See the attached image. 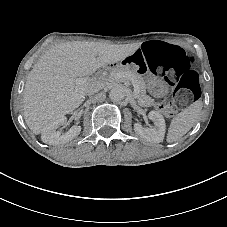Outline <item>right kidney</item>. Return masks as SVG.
Returning a JSON list of instances; mask_svg holds the SVG:
<instances>
[{
  "label": "right kidney",
  "instance_id": "right-kidney-1",
  "mask_svg": "<svg viewBox=\"0 0 227 227\" xmlns=\"http://www.w3.org/2000/svg\"><path fill=\"white\" fill-rule=\"evenodd\" d=\"M67 121L66 116L62 115L55 120L50 121L41 131V140L46 144L58 145L64 144L76 138L80 132V126L71 127L66 133L61 134L57 128L65 124Z\"/></svg>",
  "mask_w": 227,
  "mask_h": 227
}]
</instances>
